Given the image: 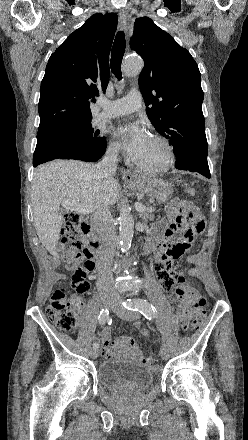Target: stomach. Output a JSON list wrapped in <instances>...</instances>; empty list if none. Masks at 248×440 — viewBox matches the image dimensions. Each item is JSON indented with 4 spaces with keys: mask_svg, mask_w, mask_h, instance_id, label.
<instances>
[{
    "mask_svg": "<svg viewBox=\"0 0 248 440\" xmlns=\"http://www.w3.org/2000/svg\"><path fill=\"white\" fill-rule=\"evenodd\" d=\"M128 184L141 197L154 198L160 203L168 201L173 194L171 185L163 179L135 177Z\"/></svg>",
    "mask_w": 248,
    "mask_h": 440,
    "instance_id": "1",
    "label": "stomach"
}]
</instances>
